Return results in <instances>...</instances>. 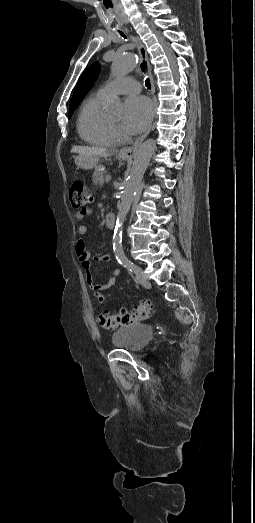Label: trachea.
<instances>
[{
	"instance_id": "1",
	"label": "trachea",
	"mask_w": 255,
	"mask_h": 523,
	"mask_svg": "<svg viewBox=\"0 0 255 523\" xmlns=\"http://www.w3.org/2000/svg\"><path fill=\"white\" fill-rule=\"evenodd\" d=\"M121 35H122L124 38H126V36H125L123 33H121ZM145 85H146V87L150 90L151 85H150V80H149V78L146 79V81H145Z\"/></svg>"
}]
</instances>
